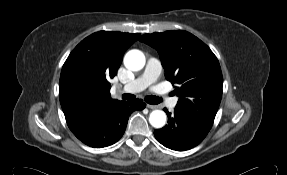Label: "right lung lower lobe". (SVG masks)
I'll return each mask as SVG.
<instances>
[{"label": "right lung lower lobe", "mask_w": 287, "mask_h": 175, "mask_svg": "<svg viewBox=\"0 0 287 175\" xmlns=\"http://www.w3.org/2000/svg\"><path fill=\"white\" fill-rule=\"evenodd\" d=\"M141 99L119 101L112 104L92 121L74 130L73 134L88 146L102 148L116 143L124 134L128 116L135 110L144 109Z\"/></svg>", "instance_id": "right-lung-lower-lobe-1"}]
</instances>
